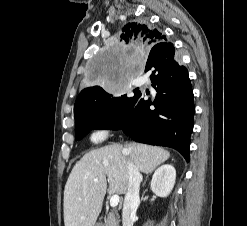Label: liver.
Segmentation results:
<instances>
[{
    "label": "liver",
    "instance_id": "liver-1",
    "mask_svg": "<svg viewBox=\"0 0 247 226\" xmlns=\"http://www.w3.org/2000/svg\"><path fill=\"white\" fill-rule=\"evenodd\" d=\"M169 157L170 153L163 148L138 143L124 147L115 143L89 151L74 165L66 182L64 225L94 226L106 192H127L128 162L148 174Z\"/></svg>",
    "mask_w": 247,
    "mask_h": 226
}]
</instances>
